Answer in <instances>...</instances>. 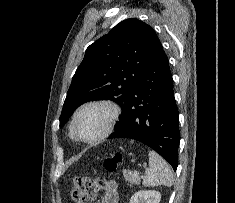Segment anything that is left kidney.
Wrapping results in <instances>:
<instances>
[{
    "instance_id": "5707ae66",
    "label": "left kidney",
    "mask_w": 235,
    "mask_h": 203,
    "mask_svg": "<svg viewBox=\"0 0 235 203\" xmlns=\"http://www.w3.org/2000/svg\"><path fill=\"white\" fill-rule=\"evenodd\" d=\"M161 194L155 190H141L133 194L129 203H160Z\"/></svg>"
}]
</instances>
